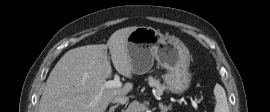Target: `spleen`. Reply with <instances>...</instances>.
Instances as JSON below:
<instances>
[{
    "instance_id": "1",
    "label": "spleen",
    "mask_w": 270,
    "mask_h": 112,
    "mask_svg": "<svg viewBox=\"0 0 270 112\" xmlns=\"http://www.w3.org/2000/svg\"><path fill=\"white\" fill-rule=\"evenodd\" d=\"M214 95L216 100L214 112H229L226 92L221 85L216 84L214 88Z\"/></svg>"
}]
</instances>
